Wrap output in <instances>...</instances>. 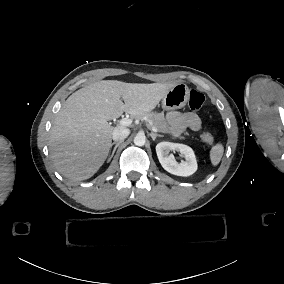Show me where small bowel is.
<instances>
[{
  "mask_svg": "<svg viewBox=\"0 0 284 284\" xmlns=\"http://www.w3.org/2000/svg\"><path fill=\"white\" fill-rule=\"evenodd\" d=\"M166 119L171 126L173 134H180L187 129L199 131L201 129V121L194 112L170 111L166 115Z\"/></svg>",
  "mask_w": 284,
  "mask_h": 284,
  "instance_id": "small-bowel-1",
  "label": "small bowel"
}]
</instances>
